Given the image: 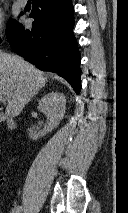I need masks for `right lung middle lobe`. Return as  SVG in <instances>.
I'll list each match as a JSON object with an SVG mask.
<instances>
[{
    "label": "right lung middle lobe",
    "instance_id": "1",
    "mask_svg": "<svg viewBox=\"0 0 128 213\" xmlns=\"http://www.w3.org/2000/svg\"><path fill=\"white\" fill-rule=\"evenodd\" d=\"M17 24L18 22H15V21L8 23L9 29L6 31L7 36L13 31V29L16 27ZM0 43H1V40H0Z\"/></svg>",
    "mask_w": 128,
    "mask_h": 213
}]
</instances>
